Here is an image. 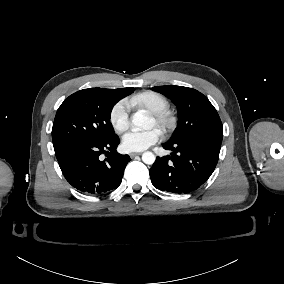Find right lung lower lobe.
<instances>
[{"instance_id":"98d812e1","label":"right lung lower lobe","mask_w":284,"mask_h":284,"mask_svg":"<svg viewBox=\"0 0 284 284\" xmlns=\"http://www.w3.org/2000/svg\"><path fill=\"white\" fill-rule=\"evenodd\" d=\"M117 135L105 141H78L55 149L61 171L66 180L85 194H105L116 189L124 169L131 160L116 151ZM105 153L107 158L100 160Z\"/></svg>"}]
</instances>
